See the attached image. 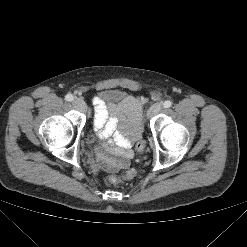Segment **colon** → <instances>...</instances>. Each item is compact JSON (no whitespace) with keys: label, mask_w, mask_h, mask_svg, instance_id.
<instances>
[{"label":"colon","mask_w":247,"mask_h":247,"mask_svg":"<svg viewBox=\"0 0 247 247\" xmlns=\"http://www.w3.org/2000/svg\"><path fill=\"white\" fill-rule=\"evenodd\" d=\"M138 148H139L140 150H142V149H143V143L140 142V143L138 144ZM135 174H136L135 170L130 169V170H128L122 177H120V176H111V177L109 178V181H110L112 184H120V183L123 182V180H130V179H132V178L135 176Z\"/></svg>","instance_id":"colon-1"}]
</instances>
